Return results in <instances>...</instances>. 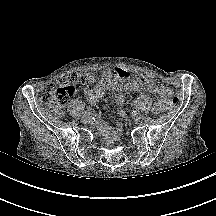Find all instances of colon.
Segmentation results:
<instances>
[{
  "label": "colon",
  "instance_id": "1",
  "mask_svg": "<svg viewBox=\"0 0 216 216\" xmlns=\"http://www.w3.org/2000/svg\"><path fill=\"white\" fill-rule=\"evenodd\" d=\"M91 80V75L81 74L76 71L69 72L58 81L55 90L43 96L42 102L55 114L62 115L64 107L75 92V85L78 83L88 84ZM164 103L166 107L172 108L179 103V98L172 90L168 89Z\"/></svg>",
  "mask_w": 216,
  "mask_h": 216
}]
</instances>
